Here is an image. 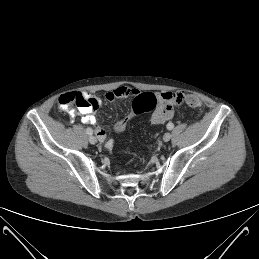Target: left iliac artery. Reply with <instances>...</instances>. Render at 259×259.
Returning <instances> with one entry per match:
<instances>
[{
  "mask_svg": "<svg viewBox=\"0 0 259 259\" xmlns=\"http://www.w3.org/2000/svg\"><path fill=\"white\" fill-rule=\"evenodd\" d=\"M174 128V124L173 123H168L167 124V129L168 130H172Z\"/></svg>",
  "mask_w": 259,
  "mask_h": 259,
  "instance_id": "left-iliac-artery-1",
  "label": "left iliac artery"
}]
</instances>
